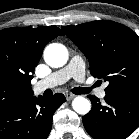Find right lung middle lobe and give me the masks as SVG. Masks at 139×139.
I'll return each mask as SVG.
<instances>
[{
	"instance_id": "1",
	"label": "right lung middle lobe",
	"mask_w": 139,
	"mask_h": 139,
	"mask_svg": "<svg viewBox=\"0 0 139 139\" xmlns=\"http://www.w3.org/2000/svg\"><path fill=\"white\" fill-rule=\"evenodd\" d=\"M21 87L11 72L0 66V107L21 101Z\"/></svg>"
}]
</instances>
